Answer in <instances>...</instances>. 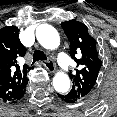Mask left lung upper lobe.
Returning <instances> with one entry per match:
<instances>
[{"label": "left lung upper lobe", "instance_id": "left-lung-upper-lobe-1", "mask_svg": "<svg viewBox=\"0 0 117 117\" xmlns=\"http://www.w3.org/2000/svg\"><path fill=\"white\" fill-rule=\"evenodd\" d=\"M67 38L70 41V55L76 61V75H70L73 87L68 93L75 101L82 100L93 89L101 60L96 49V40L88 33V28L74 19L61 23Z\"/></svg>", "mask_w": 117, "mask_h": 117}]
</instances>
